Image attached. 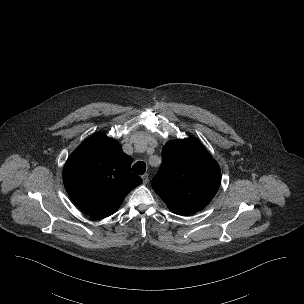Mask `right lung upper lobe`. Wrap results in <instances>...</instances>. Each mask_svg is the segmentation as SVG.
Wrapping results in <instances>:
<instances>
[{
	"label": "right lung upper lobe",
	"instance_id": "obj_1",
	"mask_svg": "<svg viewBox=\"0 0 304 304\" xmlns=\"http://www.w3.org/2000/svg\"><path fill=\"white\" fill-rule=\"evenodd\" d=\"M132 158L102 133L86 139L68 158L63 182L73 202L86 213L112 215L142 179L131 173Z\"/></svg>",
	"mask_w": 304,
	"mask_h": 304
}]
</instances>
